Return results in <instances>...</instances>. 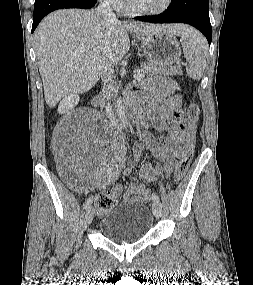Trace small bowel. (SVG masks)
<instances>
[{
	"label": "small bowel",
	"instance_id": "obj_1",
	"mask_svg": "<svg viewBox=\"0 0 253 285\" xmlns=\"http://www.w3.org/2000/svg\"><path fill=\"white\" fill-rule=\"evenodd\" d=\"M176 83L162 76L150 79L139 88H133L130 96L136 98L142 105V115L139 122L140 141L134 146V157L129 167L123 174H132L139 156L144 150L157 159L156 166L145 163L141 167L138 183L131 181L124 193L126 201L147 202L144 183H152L161 177L168 176L181 157L184 147L188 142L190 124L184 118L181 109L182 97L176 92ZM141 94V96H139ZM155 129L164 134V143L156 140L151 133ZM59 155L67 152L63 142L58 148ZM117 199L123 192L121 184L114 185L110 191Z\"/></svg>",
	"mask_w": 253,
	"mask_h": 285
}]
</instances>
